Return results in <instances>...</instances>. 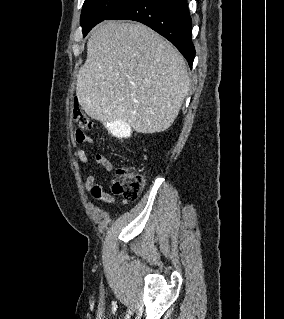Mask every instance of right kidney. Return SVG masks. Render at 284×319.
Listing matches in <instances>:
<instances>
[{
    "instance_id": "ca27d5eb",
    "label": "right kidney",
    "mask_w": 284,
    "mask_h": 319,
    "mask_svg": "<svg viewBox=\"0 0 284 319\" xmlns=\"http://www.w3.org/2000/svg\"><path fill=\"white\" fill-rule=\"evenodd\" d=\"M108 129L114 136L118 138H127L131 135L130 126L124 122L111 123Z\"/></svg>"
}]
</instances>
